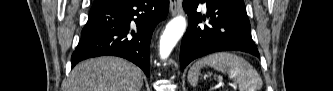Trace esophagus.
Segmentation results:
<instances>
[{"mask_svg":"<svg viewBox=\"0 0 333 91\" xmlns=\"http://www.w3.org/2000/svg\"><path fill=\"white\" fill-rule=\"evenodd\" d=\"M183 12L182 9V1L181 0H170V13L172 16L181 14Z\"/></svg>","mask_w":333,"mask_h":91,"instance_id":"34e87169","label":"esophagus"}]
</instances>
